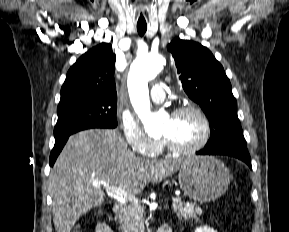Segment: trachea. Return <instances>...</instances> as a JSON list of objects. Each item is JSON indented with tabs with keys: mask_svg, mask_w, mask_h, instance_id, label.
Here are the masks:
<instances>
[{
	"mask_svg": "<svg viewBox=\"0 0 289 232\" xmlns=\"http://www.w3.org/2000/svg\"><path fill=\"white\" fill-rule=\"evenodd\" d=\"M147 25L146 24H137V31L140 36H143L146 33Z\"/></svg>",
	"mask_w": 289,
	"mask_h": 232,
	"instance_id": "trachea-1",
	"label": "trachea"
}]
</instances>
